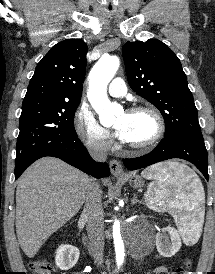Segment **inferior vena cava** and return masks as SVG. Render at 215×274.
I'll return each instance as SVG.
<instances>
[{
    "label": "inferior vena cava",
    "mask_w": 215,
    "mask_h": 274,
    "mask_svg": "<svg viewBox=\"0 0 215 274\" xmlns=\"http://www.w3.org/2000/svg\"><path fill=\"white\" fill-rule=\"evenodd\" d=\"M107 150L108 146L104 141L94 140L89 146V153L92 158L100 162L106 161ZM82 216L87 221V232L95 263L98 267L102 266L104 261L102 191L93 180H90L87 188Z\"/></svg>",
    "instance_id": "inferior-vena-cava-1"
}]
</instances>
